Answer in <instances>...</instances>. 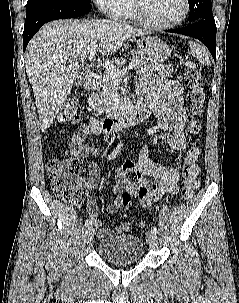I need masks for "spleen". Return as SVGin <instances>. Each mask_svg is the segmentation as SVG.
Here are the masks:
<instances>
[{
    "instance_id": "spleen-1",
    "label": "spleen",
    "mask_w": 239,
    "mask_h": 303,
    "mask_svg": "<svg viewBox=\"0 0 239 303\" xmlns=\"http://www.w3.org/2000/svg\"><path fill=\"white\" fill-rule=\"evenodd\" d=\"M189 47L192 55L196 57V59L199 61L201 65L204 66L210 65L209 55L205 47L193 41H189Z\"/></svg>"
}]
</instances>
